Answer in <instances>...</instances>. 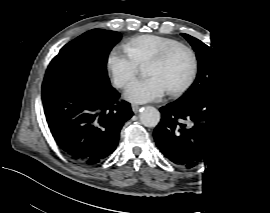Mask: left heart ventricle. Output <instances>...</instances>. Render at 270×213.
Instances as JSON below:
<instances>
[{"label":"left heart ventricle","mask_w":270,"mask_h":213,"mask_svg":"<svg viewBox=\"0 0 270 213\" xmlns=\"http://www.w3.org/2000/svg\"><path fill=\"white\" fill-rule=\"evenodd\" d=\"M191 58L184 51L171 54L163 63L149 68V75L156 77L169 90L182 85L187 79Z\"/></svg>","instance_id":"obj_1"}]
</instances>
